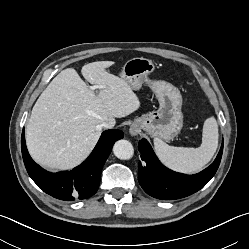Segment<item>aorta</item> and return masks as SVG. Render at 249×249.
<instances>
[{"label": "aorta", "mask_w": 249, "mask_h": 249, "mask_svg": "<svg viewBox=\"0 0 249 249\" xmlns=\"http://www.w3.org/2000/svg\"><path fill=\"white\" fill-rule=\"evenodd\" d=\"M114 155L121 160H129L134 154V148L128 140H118L113 146Z\"/></svg>", "instance_id": "obj_1"}]
</instances>
